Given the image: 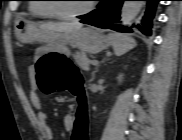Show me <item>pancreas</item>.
<instances>
[{"label": "pancreas", "mask_w": 182, "mask_h": 140, "mask_svg": "<svg viewBox=\"0 0 182 140\" xmlns=\"http://www.w3.org/2000/svg\"><path fill=\"white\" fill-rule=\"evenodd\" d=\"M73 57H74L76 63H77L83 70H88L91 61H90V59L87 57V55H86L85 53L76 52L75 54H73Z\"/></svg>", "instance_id": "cf45deb5"}]
</instances>
